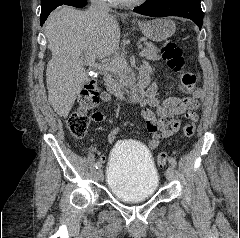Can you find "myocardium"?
Listing matches in <instances>:
<instances>
[{"mask_svg":"<svg viewBox=\"0 0 240 238\" xmlns=\"http://www.w3.org/2000/svg\"><path fill=\"white\" fill-rule=\"evenodd\" d=\"M147 0H117V4L121 6L133 7L146 2Z\"/></svg>","mask_w":240,"mask_h":238,"instance_id":"f54148a6","label":"myocardium"}]
</instances>
